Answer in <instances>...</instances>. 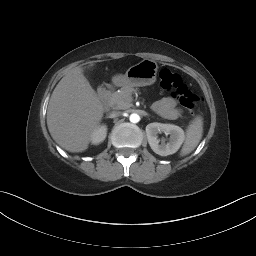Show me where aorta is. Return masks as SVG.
<instances>
[{
	"mask_svg": "<svg viewBox=\"0 0 256 256\" xmlns=\"http://www.w3.org/2000/svg\"><path fill=\"white\" fill-rule=\"evenodd\" d=\"M129 120L132 123H137V122L140 121V116L136 113H133V114L130 115Z\"/></svg>",
	"mask_w": 256,
	"mask_h": 256,
	"instance_id": "1",
	"label": "aorta"
}]
</instances>
